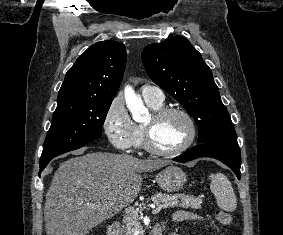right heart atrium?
<instances>
[{
  "instance_id": "right-heart-atrium-1",
  "label": "right heart atrium",
  "mask_w": 283,
  "mask_h": 235,
  "mask_svg": "<svg viewBox=\"0 0 283 235\" xmlns=\"http://www.w3.org/2000/svg\"><path fill=\"white\" fill-rule=\"evenodd\" d=\"M103 128L117 149L127 150L133 145L136 126L120 96L115 97L109 104L103 119Z\"/></svg>"
}]
</instances>
